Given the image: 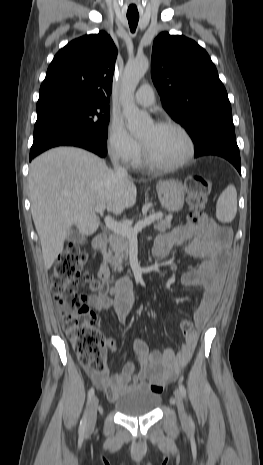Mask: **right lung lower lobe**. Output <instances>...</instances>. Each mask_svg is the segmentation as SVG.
I'll list each match as a JSON object with an SVG mask.
<instances>
[{"mask_svg": "<svg viewBox=\"0 0 263 465\" xmlns=\"http://www.w3.org/2000/svg\"><path fill=\"white\" fill-rule=\"evenodd\" d=\"M65 145L87 149L100 157H104L107 154L106 147L95 142L90 137L76 132L62 131L50 133L38 139H34L30 150V161L47 149Z\"/></svg>", "mask_w": 263, "mask_h": 465, "instance_id": "right-lung-lower-lobe-1", "label": "right lung lower lobe"}]
</instances>
